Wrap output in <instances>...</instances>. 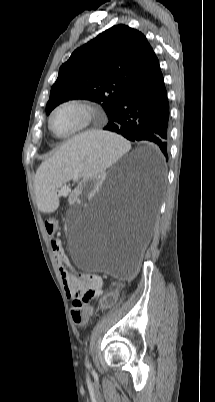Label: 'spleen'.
I'll return each instance as SVG.
<instances>
[{"label": "spleen", "instance_id": "obj_1", "mask_svg": "<svg viewBox=\"0 0 215 402\" xmlns=\"http://www.w3.org/2000/svg\"><path fill=\"white\" fill-rule=\"evenodd\" d=\"M130 149L123 138L106 132H86L66 142L38 171V208L47 212L60 209L56 189L74 175H95Z\"/></svg>", "mask_w": 215, "mask_h": 402}]
</instances>
